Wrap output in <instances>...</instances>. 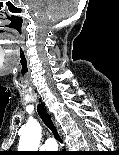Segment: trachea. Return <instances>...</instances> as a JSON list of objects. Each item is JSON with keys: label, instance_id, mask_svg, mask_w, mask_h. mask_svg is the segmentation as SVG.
Returning <instances> with one entry per match:
<instances>
[{"label": "trachea", "instance_id": "obj_1", "mask_svg": "<svg viewBox=\"0 0 119 155\" xmlns=\"http://www.w3.org/2000/svg\"><path fill=\"white\" fill-rule=\"evenodd\" d=\"M37 111H38V114H39L41 120L43 121V123L52 131L55 139L58 142L63 143L62 138L60 137V135L52 121V118H51L50 114L47 112V110L45 109V107L43 105H38Z\"/></svg>", "mask_w": 119, "mask_h": 155}]
</instances>
